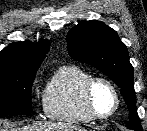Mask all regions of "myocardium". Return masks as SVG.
<instances>
[{
  "instance_id": "myocardium-1",
  "label": "myocardium",
  "mask_w": 147,
  "mask_h": 131,
  "mask_svg": "<svg viewBox=\"0 0 147 131\" xmlns=\"http://www.w3.org/2000/svg\"><path fill=\"white\" fill-rule=\"evenodd\" d=\"M98 82L107 84L111 88L115 97V106L112 111L107 114L97 113L92 103V91ZM83 104L87 114L93 120H106L111 118L118 111L121 104V97L117 86L110 79L104 76H93L86 82L83 88Z\"/></svg>"
}]
</instances>
